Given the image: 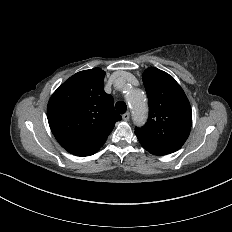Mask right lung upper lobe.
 <instances>
[{
    "label": "right lung upper lobe",
    "mask_w": 232,
    "mask_h": 232,
    "mask_svg": "<svg viewBox=\"0 0 232 232\" xmlns=\"http://www.w3.org/2000/svg\"><path fill=\"white\" fill-rule=\"evenodd\" d=\"M105 72L93 68L76 73L51 96L47 116L59 144L76 156H90L105 143L121 116L103 89Z\"/></svg>",
    "instance_id": "right-lung-upper-lobe-1"
}]
</instances>
